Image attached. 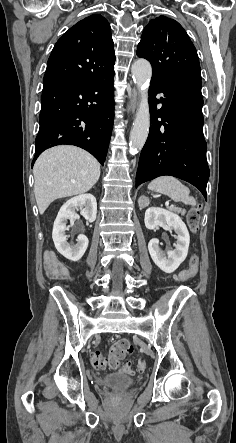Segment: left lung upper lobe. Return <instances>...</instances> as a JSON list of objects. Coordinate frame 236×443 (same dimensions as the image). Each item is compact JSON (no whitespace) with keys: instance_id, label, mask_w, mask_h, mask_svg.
<instances>
[{"instance_id":"obj_1","label":"left lung upper lobe","mask_w":236,"mask_h":443,"mask_svg":"<svg viewBox=\"0 0 236 443\" xmlns=\"http://www.w3.org/2000/svg\"><path fill=\"white\" fill-rule=\"evenodd\" d=\"M137 55L152 65V79L186 77L201 80L197 51L183 27L160 16L144 28Z\"/></svg>"}]
</instances>
